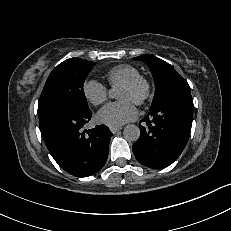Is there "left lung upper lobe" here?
Wrapping results in <instances>:
<instances>
[{
    "instance_id": "obj_1",
    "label": "left lung upper lobe",
    "mask_w": 231,
    "mask_h": 231,
    "mask_svg": "<svg viewBox=\"0 0 231 231\" xmlns=\"http://www.w3.org/2000/svg\"><path fill=\"white\" fill-rule=\"evenodd\" d=\"M133 59L144 61L152 72L155 83V95L151 108L171 94L190 93L187 81L164 60L151 55H141Z\"/></svg>"
}]
</instances>
